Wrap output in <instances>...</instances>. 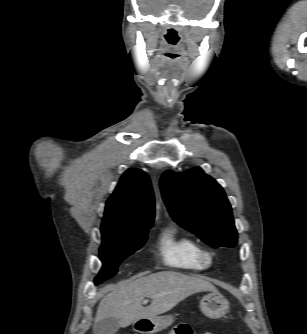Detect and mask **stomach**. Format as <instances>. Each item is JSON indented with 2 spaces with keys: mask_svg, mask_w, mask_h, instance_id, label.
<instances>
[{
  "mask_svg": "<svg viewBox=\"0 0 307 334\" xmlns=\"http://www.w3.org/2000/svg\"><path fill=\"white\" fill-rule=\"evenodd\" d=\"M202 313L210 319H219L229 311V302L218 292L206 294L200 301ZM174 322L173 315L156 316L149 319H140L135 328L148 334L162 331Z\"/></svg>",
  "mask_w": 307,
  "mask_h": 334,
  "instance_id": "1",
  "label": "stomach"
}]
</instances>
